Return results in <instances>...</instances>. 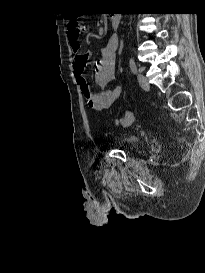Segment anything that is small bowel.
Masks as SVG:
<instances>
[{
	"mask_svg": "<svg viewBox=\"0 0 205 273\" xmlns=\"http://www.w3.org/2000/svg\"><path fill=\"white\" fill-rule=\"evenodd\" d=\"M79 24L77 21H71L67 27L68 40L72 51L75 53L73 63L74 75L77 78L78 85L85 97L88 107L94 110H105L120 96L121 88L119 86L109 87V84L115 80L116 73V50L118 47L117 37L109 39L107 44L100 50V59L94 63V80L99 87V91L94 92L90 89L88 80L84 76L85 66L89 55L81 52L79 36L82 31L87 29L82 26L78 33H75L74 26Z\"/></svg>",
	"mask_w": 205,
	"mask_h": 273,
	"instance_id": "c3829d8e",
	"label": "small bowel"
}]
</instances>
